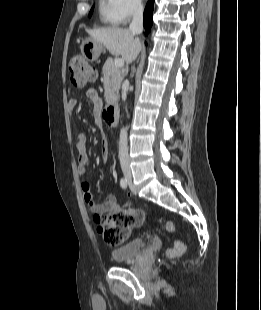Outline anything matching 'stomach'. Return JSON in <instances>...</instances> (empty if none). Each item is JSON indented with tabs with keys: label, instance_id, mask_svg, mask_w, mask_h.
Here are the masks:
<instances>
[{
	"label": "stomach",
	"instance_id": "stomach-1",
	"mask_svg": "<svg viewBox=\"0 0 261 310\" xmlns=\"http://www.w3.org/2000/svg\"><path fill=\"white\" fill-rule=\"evenodd\" d=\"M80 49L82 55L88 61H95L99 58L102 52V45L93 38H86L82 41Z\"/></svg>",
	"mask_w": 261,
	"mask_h": 310
}]
</instances>
